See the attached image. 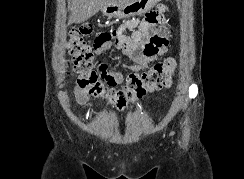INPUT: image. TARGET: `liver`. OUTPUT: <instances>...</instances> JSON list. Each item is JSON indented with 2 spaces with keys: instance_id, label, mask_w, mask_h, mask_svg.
I'll return each instance as SVG.
<instances>
[{
  "instance_id": "obj_1",
  "label": "liver",
  "mask_w": 244,
  "mask_h": 179,
  "mask_svg": "<svg viewBox=\"0 0 244 179\" xmlns=\"http://www.w3.org/2000/svg\"><path fill=\"white\" fill-rule=\"evenodd\" d=\"M69 2V10L72 12L70 22H84L97 14L107 0H69Z\"/></svg>"
}]
</instances>
